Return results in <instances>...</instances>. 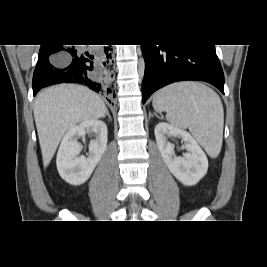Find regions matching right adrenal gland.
<instances>
[{"mask_svg": "<svg viewBox=\"0 0 267 267\" xmlns=\"http://www.w3.org/2000/svg\"><path fill=\"white\" fill-rule=\"evenodd\" d=\"M105 116H108V118H109V120L111 121L112 119H111V116H110V114H109V112H108V110L106 111V115Z\"/></svg>", "mask_w": 267, "mask_h": 267, "instance_id": "1", "label": "right adrenal gland"}]
</instances>
